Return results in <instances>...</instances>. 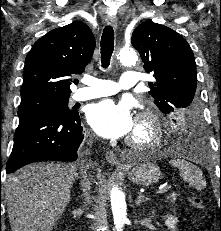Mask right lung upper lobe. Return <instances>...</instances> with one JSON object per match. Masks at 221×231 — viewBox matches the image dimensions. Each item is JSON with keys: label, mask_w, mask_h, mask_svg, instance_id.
<instances>
[{"label": "right lung upper lobe", "mask_w": 221, "mask_h": 231, "mask_svg": "<svg viewBox=\"0 0 221 231\" xmlns=\"http://www.w3.org/2000/svg\"><path fill=\"white\" fill-rule=\"evenodd\" d=\"M94 49L95 38L81 21L48 32L26 56L21 98L69 97L72 75L84 71Z\"/></svg>", "instance_id": "right-lung-upper-lobe-1"}]
</instances>
